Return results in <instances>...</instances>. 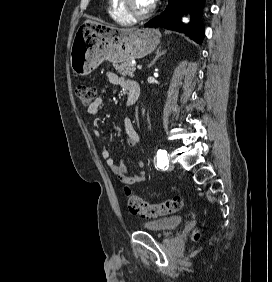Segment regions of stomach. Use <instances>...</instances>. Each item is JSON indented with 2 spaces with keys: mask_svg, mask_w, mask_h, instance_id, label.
<instances>
[{
  "mask_svg": "<svg viewBox=\"0 0 272 282\" xmlns=\"http://www.w3.org/2000/svg\"><path fill=\"white\" fill-rule=\"evenodd\" d=\"M159 43V35L152 29H120L85 22L77 30L71 45V69L75 75H88L105 60L121 63L143 58Z\"/></svg>",
  "mask_w": 272,
  "mask_h": 282,
  "instance_id": "1",
  "label": "stomach"
}]
</instances>
